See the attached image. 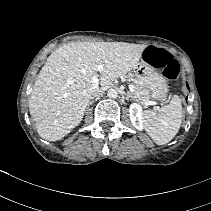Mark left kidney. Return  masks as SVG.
Returning a JSON list of instances; mask_svg holds the SVG:
<instances>
[{"label": "left kidney", "mask_w": 211, "mask_h": 211, "mask_svg": "<svg viewBox=\"0 0 211 211\" xmlns=\"http://www.w3.org/2000/svg\"><path fill=\"white\" fill-rule=\"evenodd\" d=\"M129 114L133 126L137 130H142L144 127L142 107L138 103H132L129 107Z\"/></svg>", "instance_id": "5707ae66"}]
</instances>
